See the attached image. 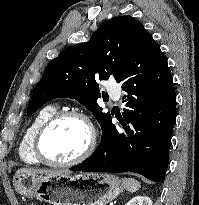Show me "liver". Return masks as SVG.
Segmentation results:
<instances>
[{
  "label": "liver",
  "instance_id": "6515ba94",
  "mask_svg": "<svg viewBox=\"0 0 199 205\" xmlns=\"http://www.w3.org/2000/svg\"><path fill=\"white\" fill-rule=\"evenodd\" d=\"M19 172H25L30 175H49V174H70L66 170H45V169H28L22 168L18 170Z\"/></svg>",
  "mask_w": 199,
  "mask_h": 205
}]
</instances>
